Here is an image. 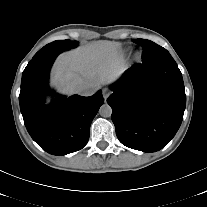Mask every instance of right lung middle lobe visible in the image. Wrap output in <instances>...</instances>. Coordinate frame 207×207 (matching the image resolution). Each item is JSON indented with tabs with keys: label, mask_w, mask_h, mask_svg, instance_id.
Segmentation results:
<instances>
[{
	"label": "right lung middle lobe",
	"mask_w": 207,
	"mask_h": 207,
	"mask_svg": "<svg viewBox=\"0 0 207 207\" xmlns=\"http://www.w3.org/2000/svg\"><path fill=\"white\" fill-rule=\"evenodd\" d=\"M77 45V41L57 40L44 46L34 55L33 58H37L50 53H61L62 51L71 49L73 47H76Z\"/></svg>",
	"instance_id": "1"
}]
</instances>
